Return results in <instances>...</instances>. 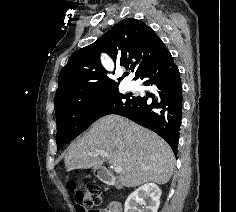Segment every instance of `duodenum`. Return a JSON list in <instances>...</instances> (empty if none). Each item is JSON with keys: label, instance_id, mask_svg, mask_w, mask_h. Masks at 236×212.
Returning a JSON list of instances; mask_svg holds the SVG:
<instances>
[{"label": "duodenum", "instance_id": "duodenum-1", "mask_svg": "<svg viewBox=\"0 0 236 212\" xmlns=\"http://www.w3.org/2000/svg\"><path fill=\"white\" fill-rule=\"evenodd\" d=\"M98 177L106 185H113L115 182V179L113 175L111 174V172L107 168H104V167L99 168Z\"/></svg>", "mask_w": 236, "mask_h": 212}]
</instances>
